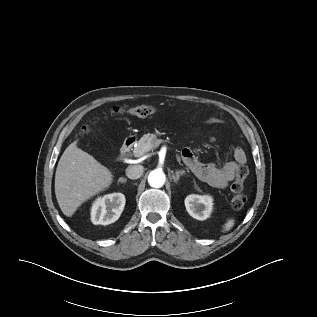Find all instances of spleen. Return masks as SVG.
Returning a JSON list of instances; mask_svg holds the SVG:
<instances>
[{"mask_svg":"<svg viewBox=\"0 0 317 317\" xmlns=\"http://www.w3.org/2000/svg\"><path fill=\"white\" fill-rule=\"evenodd\" d=\"M235 224V220L232 218L227 219V221L225 222V224L222 227V232H228L230 231L233 226Z\"/></svg>","mask_w":317,"mask_h":317,"instance_id":"spleen-1","label":"spleen"}]
</instances>
